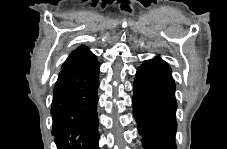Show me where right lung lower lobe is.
<instances>
[{
    "label": "right lung lower lobe",
    "mask_w": 227,
    "mask_h": 149,
    "mask_svg": "<svg viewBox=\"0 0 227 149\" xmlns=\"http://www.w3.org/2000/svg\"><path fill=\"white\" fill-rule=\"evenodd\" d=\"M96 56L62 68L53 90L52 135L58 149H99Z\"/></svg>",
    "instance_id": "right-lung-lower-lobe-1"
}]
</instances>
